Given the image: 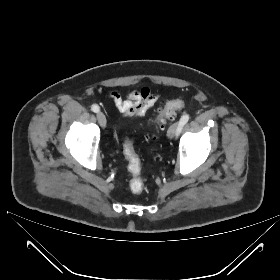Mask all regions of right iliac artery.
<instances>
[{
    "mask_svg": "<svg viewBox=\"0 0 280 280\" xmlns=\"http://www.w3.org/2000/svg\"><path fill=\"white\" fill-rule=\"evenodd\" d=\"M91 109L95 113H97L99 111V107L97 105H92Z\"/></svg>",
    "mask_w": 280,
    "mask_h": 280,
    "instance_id": "82829eb1",
    "label": "right iliac artery"
}]
</instances>
